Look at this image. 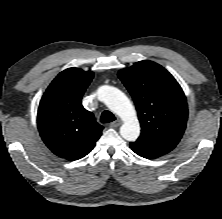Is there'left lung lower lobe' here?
<instances>
[{
  "mask_svg": "<svg viewBox=\"0 0 222 219\" xmlns=\"http://www.w3.org/2000/svg\"><path fill=\"white\" fill-rule=\"evenodd\" d=\"M130 146L136 154L147 159L157 158L171 151L164 147H158L139 141L131 142Z\"/></svg>",
  "mask_w": 222,
  "mask_h": 219,
  "instance_id": "obj_1",
  "label": "left lung lower lobe"
}]
</instances>
